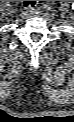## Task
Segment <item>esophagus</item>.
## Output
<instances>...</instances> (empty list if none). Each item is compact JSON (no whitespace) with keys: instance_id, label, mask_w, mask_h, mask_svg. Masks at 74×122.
I'll use <instances>...</instances> for the list:
<instances>
[{"instance_id":"1","label":"esophagus","mask_w":74,"mask_h":122,"mask_svg":"<svg viewBox=\"0 0 74 122\" xmlns=\"http://www.w3.org/2000/svg\"><path fill=\"white\" fill-rule=\"evenodd\" d=\"M27 12L29 13V14H31V15H36V14H38V9L37 8H33V7H28L27 8Z\"/></svg>"}]
</instances>
